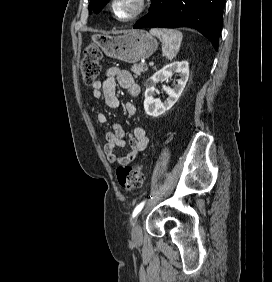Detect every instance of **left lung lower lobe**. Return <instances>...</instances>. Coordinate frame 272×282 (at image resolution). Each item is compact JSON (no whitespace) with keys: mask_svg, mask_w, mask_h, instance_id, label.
Wrapping results in <instances>:
<instances>
[{"mask_svg":"<svg viewBox=\"0 0 272 282\" xmlns=\"http://www.w3.org/2000/svg\"><path fill=\"white\" fill-rule=\"evenodd\" d=\"M147 15L134 26L138 28H177L187 26L197 29L218 49L225 0H151Z\"/></svg>","mask_w":272,"mask_h":282,"instance_id":"obj_1","label":"left lung lower lobe"}]
</instances>
